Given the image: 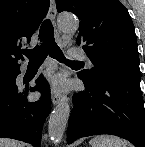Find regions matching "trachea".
<instances>
[{
	"mask_svg": "<svg viewBox=\"0 0 145 147\" xmlns=\"http://www.w3.org/2000/svg\"><path fill=\"white\" fill-rule=\"evenodd\" d=\"M39 37L42 44L35 46L31 50L23 51V54L28 57L29 65H41L47 55L58 60L59 62H65L67 65H73L79 63L78 61L66 60L61 49L58 47L54 39V28L49 19H46L39 32Z\"/></svg>",
	"mask_w": 145,
	"mask_h": 147,
	"instance_id": "1",
	"label": "trachea"
}]
</instances>
